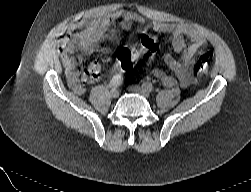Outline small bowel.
<instances>
[{
    "label": "small bowel",
    "instance_id": "1",
    "mask_svg": "<svg viewBox=\"0 0 251 192\" xmlns=\"http://www.w3.org/2000/svg\"><path fill=\"white\" fill-rule=\"evenodd\" d=\"M142 19L133 12L124 14L118 29H111L108 23L92 22L82 32L73 34L76 25L71 26L60 39V50L64 56L66 78L74 93L82 95L86 86L98 82L102 77V65L99 61H91L88 69L81 74L80 67L87 57L95 52L108 53L111 44L118 39V31H128ZM149 30L169 34L173 50L179 55L167 54L164 62L172 71V75L161 69H154L152 75L164 87L179 84L182 88H191L194 80L191 75V63L196 50L206 43L205 37L193 27L186 24H172L155 21Z\"/></svg>",
    "mask_w": 251,
    "mask_h": 192
}]
</instances>
